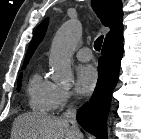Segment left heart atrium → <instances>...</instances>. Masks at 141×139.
I'll use <instances>...</instances> for the list:
<instances>
[{
    "label": "left heart atrium",
    "instance_id": "1",
    "mask_svg": "<svg viewBox=\"0 0 141 139\" xmlns=\"http://www.w3.org/2000/svg\"><path fill=\"white\" fill-rule=\"evenodd\" d=\"M98 81L97 69L89 64L81 65L76 71L75 89L78 94L87 96L95 89Z\"/></svg>",
    "mask_w": 141,
    "mask_h": 139
}]
</instances>
